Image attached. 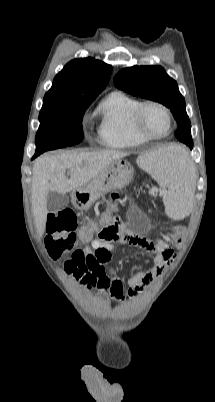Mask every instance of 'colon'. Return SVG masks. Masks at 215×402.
<instances>
[{
  "instance_id": "5ec220e1",
  "label": "colon",
  "mask_w": 215,
  "mask_h": 402,
  "mask_svg": "<svg viewBox=\"0 0 215 402\" xmlns=\"http://www.w3.org/2000/svg\"><path fill=\"white\" fill-rule=\"evenodd\" d=\"M118 196L112 195L111 202L114 204L117 202ZM113 221L111 212L105 213L103 217L104 224H110ZM186 223H179L177 228L183 230L182 232L177 229H172L170 232V238L174 246H180L185 238L188 237ZM77 221L73 211L66 209L57 213H51L47 217L46 224V248L48 253L53 258H58L61 255L70 252L73 248H76V242L80 244H90L91 236L93 233V227L86 226L82 228L79 233V237L76 234ZM71 260L80 262L82 260V254L80 250L73 253ZM70 260L65 262V265L69 264Z\"/></svg>"
}]
</instances>
